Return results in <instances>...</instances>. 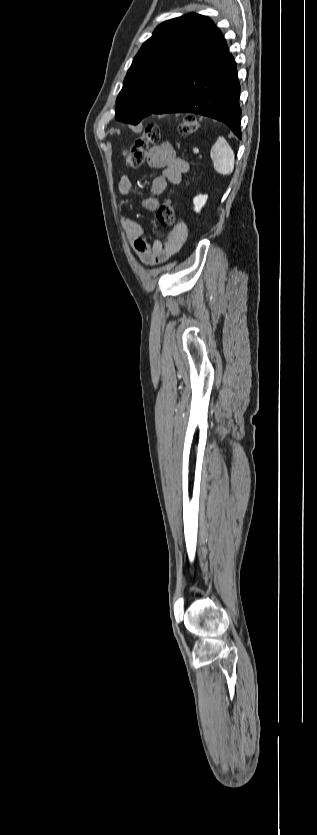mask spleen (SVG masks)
<instances>
[{
  "mask_svg": "<svg viewBox=\"0 0 317 835\" xmlns=\"http://www.w3.org/2000/svg\"><path fill=\"white\" fill-rule=\"evenodd\" d=\"M210 157L213 161L214 170L224 176L230 175L234 170L235 156L232 148L222 136H219L211 148Z\"/></svg>",
  "mask_w": 317,
  "mask_h": 835,
  "instance_id": "obj_1",
  "label": "spleen"
}]
</instances>
